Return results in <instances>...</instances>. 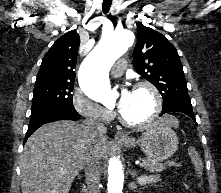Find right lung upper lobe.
<instances>
[{"instance_id":"1","label":"right lung upper lobe","mask_w":221,"mask_h":193,"mask_svg":"<svg viewBox=\"0 0 221 193\" xmlns=\"http://www.w3.org/2000/svg\"><path fill=\"white\" fill-rule=\"evenodd\" d=\"M80 37L76 30L60 37L42 59L35 84L74 83Z\"/></svg>"}]
</instances>
